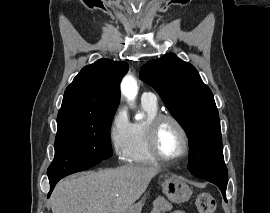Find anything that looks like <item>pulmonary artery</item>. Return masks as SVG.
<instances>
[{"label":"pulmonary artery","mask_w":270,"mask_h":213,"mask_svg":"<svg viewBox=\"0 0 270 213\" xmlns=\"http://www.w3.org/2000/svg\"><path fill=\"white\" fill-rule=\"evenodd\" d=\"M141 99L144 100V101L153 103V104H156L157 103L156 96L153 93H151V92H144L142 94Z\"/></svg>","instance_id":"e3ab8cb5"}]
</instances>
